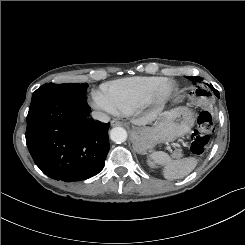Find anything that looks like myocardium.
<instances>
[{"label": "myocardium", "mask_w": 245, "mask_h": 245, "mask_svg": "<svg viewBox=\"0 0 245 245\" xmlns=\"http://www.w3.org/2000/svg\"><path fill=\"white\" fill-rule=\"evenodd\" d=\"M177 86L174 81L166 80L157 91L151 96L148 102L153 104H163L166 102L176 91Z\"/></svg>", "instance_id": "myocardium-1"}]
</instances>
